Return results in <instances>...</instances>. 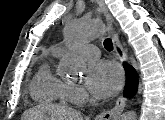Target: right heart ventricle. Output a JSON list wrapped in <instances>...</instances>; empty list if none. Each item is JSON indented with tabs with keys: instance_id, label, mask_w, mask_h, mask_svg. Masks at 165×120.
I'll return each instance as SVG.
<instances>
[{
	"instance_id": "1",
	"label": "right heart ventricle",
	"mask_w": 165,
	"mask_h": 120,
	"mask_svg": "<svg viewBox=\"0 0 165 120\" xmlns=\"http://www.w3.org/2000/svg\"><path fill=\"white\" fill-rule=\"evenodd\" d=\"M60 56L58 50H52L50 55L39 65L31 82L30 91L39 102H69L70 86L54 71L52 61Z\"/></svg>"
}]
</instances>
